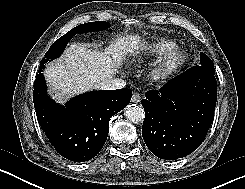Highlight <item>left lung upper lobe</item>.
<instances>
[{"mask_svg": "<svg viewBox=\"0 0 245 189\" xmlns=\"http://www.w3.org/2000/svg\"><path fill=\"white\" fill-rule=\"evenodd\" d=\"M200 66L208 68L210 71L215 72L214 64L204 53H200Z\"/></svg>", "mask_w": 245, "mask_h": 189, "instance_id": "5c2ea615", "label": "left lung upper lobe"}]
</instances>
